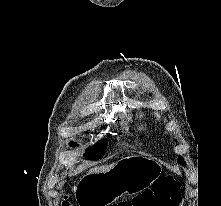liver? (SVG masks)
<instances>
[{"label": "liver", "instance_id": "6515ba94", "mask_svg": "<svg viewBox=\"0 0 221 206\" xmlns=\"http://www.w3.org/2000/svg\"><path fill=\"white\" fill-rule=\"evenodd\" d=\"M113 166H114V165L97 166V167H94V168L90 169V171L88 172V174L106 173V172H108L110 169H112Z\"/></svg>", "mask_w": 221, "mask_h": 206}]
</instances>
